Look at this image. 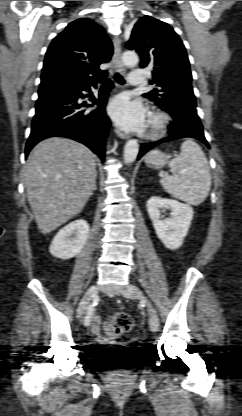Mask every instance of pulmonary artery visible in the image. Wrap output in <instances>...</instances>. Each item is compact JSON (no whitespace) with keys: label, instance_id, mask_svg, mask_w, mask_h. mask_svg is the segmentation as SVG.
<instances>
[{"label":"pulmonary artery","instance_id":"1","mask_svg":"<svg viewBox=\"0 0 242 416\" xmlns=\"http://www.w3.org/2000/svg\"><path fill=\"white\" fill-rule=\"evenodd\" d=\"M145 70L143 69H134L131 71L128 82L130 85L136 86L140 85L144 81Z\"/></svg>","mask_w":242,"mask_h":416}]
</instances>
